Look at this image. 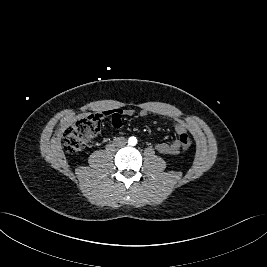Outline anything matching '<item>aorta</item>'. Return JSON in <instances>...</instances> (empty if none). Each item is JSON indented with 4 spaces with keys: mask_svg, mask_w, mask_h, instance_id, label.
Here are the masks:
<instances>
[{
    "mask_svg": "<svg viewBox=\"0 0 267 267\" xmlns=\"http://www.w3.org/2000/svg\"><path fill=\"white\" fill-rule=\"evenodd\" d=\"M128 144H129L130 146H135V145L137 144V139H136V137H130V138L128 139Z\"/></svg>",
    "mask_w": 267,
    "mask_h": 267,
    "instance_id": "aorta-1",
    "label": "aorta"
}]
</instances>
